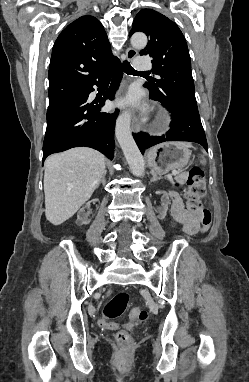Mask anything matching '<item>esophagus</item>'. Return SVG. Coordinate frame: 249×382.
Listing matches in <instances>:
<instances>
[{
  "mask_svg": "<svg viewBox=\"0 0 249 382\" xmlns=\"http://www.w3.org/2000/svg\"><path fill=\"white\" fill-rule=\"evenodd\" d=\"M137 55V51L134 48H127L126 50V58L128 60H133ZM131 126L134 132H138L141 128L140 118L136 115L132 118Z\"/></svg>",
  "mask_w": 249,
  "mask_h": 382,
  "instance_id": "esophagus-1",
  "label": "esophagus"
}]
</instances>
